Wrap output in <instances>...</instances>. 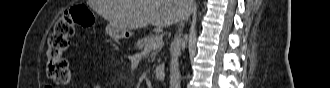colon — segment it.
Returning <instances> with one entry per match:
<instances>
[{"instance_id": "obj_1", "label": "colon", "mask_w": 330, "mask_h": 88, "mask_svg": "<svg viewBox=\"0 0 330 88\" xmlns=\"http://www.w3.org/2000/svg\"><path fill=\"white\" fill-rule=\"evenodd\" d=\"M93 22L91 11L81 4L72 6L60 15L48 37L46 74L49 79L62 85H69L74 81L73 71L63 54L69 47V38L73 35L75 26L86 29Z\"/></svg>"}]
</instances>
